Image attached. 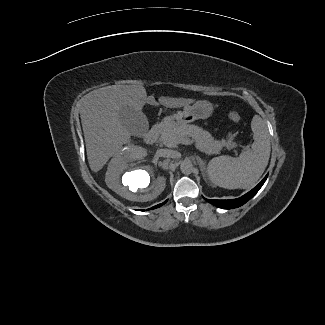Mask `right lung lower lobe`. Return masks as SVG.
Masks as SVG:
<instances>
[{
	"label": "right lung lower lobe",
	"instance_id": "obj_1",
	"mask_svg": "<svg viewBox=\"0 0 325 325\" xmlns=\"http://www.w3.org/2000/svg\"><path fill=\"white\" fill-rule=\"evenodd\" d=\"M162 204H158V205H156V206H154V207H152V208H150V209H155V208H158V207H160Z\"/></svg>",
	"mask_w": 325,
	"mask_h": 325
}]
</instances>
